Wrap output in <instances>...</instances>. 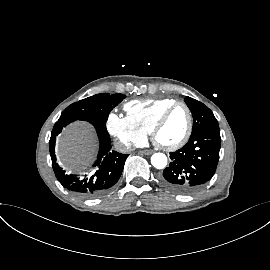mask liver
Here are the masks:
<instances>
[{
	"instance_id": "liver-1",
	"label": "liver",
	"mask_w": 270,
	"mask_h": 270,
	"mask_svg": "<svg viewBox=\"0 0 270 270\" xmlns=\"http://www.w3.org/2000/svg\"><path fill=\"white\" fill-rule=\"evenodd\" d=\"M57 150L62 162L74 169H83L96 151V138L92 127L85 122H75L67 127L57 140Z\"/></svg>"
}]
</instances>
